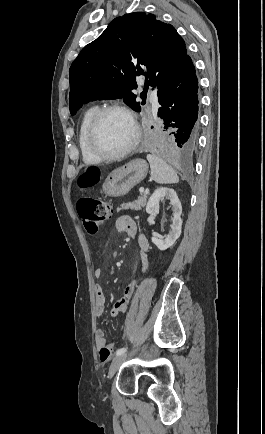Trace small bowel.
I'll return each instance as SVG.
<instances>
[{
  "label": "small bowel",
  "instance_id": "1",
  "mask_svg": "<svg viewBox=\"0 0 265 434\" xmlns=\"http://www.w3.org/2000/svg\"><path fill=\"white\" fill-rule=\"evenodd\" d=\"M116 228L120 232L126 233L133 239H136L140 248V260H141V272L145 273L149 268V243L147 238L138 230L135 221L128 215H123L119 217L116 221ZM101 269L96 270V276H101ZM138 286V281H131L124 289L123 295L119 300H117L110 312L111 317H117L121 313H125L128 308V304L132 299L136 288ZM95 293V314L97 317L103 315L106 306V295L102 284L96 283L94 286ZM108 340L103 329H97L95 331V345L97 349L100 348V341Z\"/></svg>",
  "mask_w": 265,
  "mask_h": 434
}]
</instances>
